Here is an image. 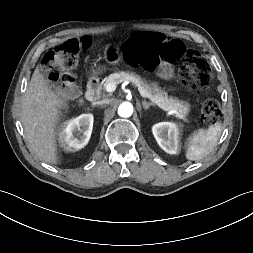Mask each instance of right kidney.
<instances>
[{
  "label": "right kidney",
  "instance_id": "right-kidney-1",
  "mask_svg": "<svg viewBox=\"0 0 253 253\" xmlns=\"http://www.w3.org/2000/svg\"><path fill=\"white\" fill-rule=\"evenodd\" d=\"M94 117L92 114H82L65 122L59 133V142L65 151L74 152L82 149L88 143Z\"/></svg>",
  "mask_w": 253,
  "mask_h": 253
}]
</instances>
